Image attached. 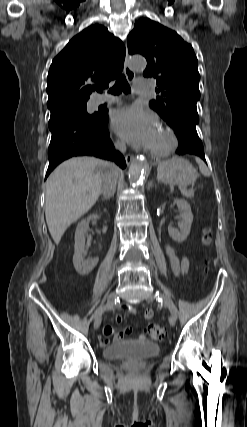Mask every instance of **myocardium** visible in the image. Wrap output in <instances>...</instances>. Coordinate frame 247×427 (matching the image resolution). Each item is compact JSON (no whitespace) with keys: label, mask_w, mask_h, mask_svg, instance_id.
Returning <instances> with one entry per match:
<instances>
[{"label":"myocardium","mask_w":247,"mask_h":427,"mask_svg":"<svg viewBox=\"0 0 247 427\" xmlns=\"http://www.w3.org/2000/svg\"><path fill=\"white\" fill-rule=\"evenodd\" d=\"M164 136V142L156 147H151L149 152L153 157L161 158L168 156L176 147L177 139L173 131L165 126L159 129Z\"/></svg>","instance_id":"myocardium-1"}]
</instances>
